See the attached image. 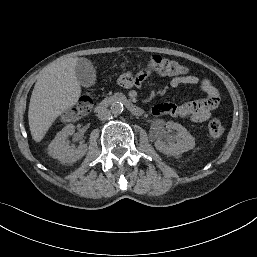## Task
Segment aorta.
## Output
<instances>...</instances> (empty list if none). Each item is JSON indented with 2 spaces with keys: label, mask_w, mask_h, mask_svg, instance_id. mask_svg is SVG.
<instances>
[{
  "label": "aorta",
  "mask_w": 257,
  "mask_h": 257,
  "mask_svg": "<svg viewBox=\"0 0 257 257\" xmlns=\"http://www.w3.org/2000/svg\"><path fill=\"white\" fill-rule=\"evenodd\" d=\"M110 109H111L112 114L117 116L123 112L124 106L121 102H113Z\"/></svg>",
  "instance_id": "1"
}]
</instances>
